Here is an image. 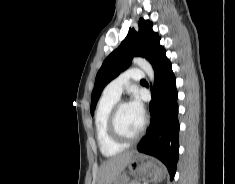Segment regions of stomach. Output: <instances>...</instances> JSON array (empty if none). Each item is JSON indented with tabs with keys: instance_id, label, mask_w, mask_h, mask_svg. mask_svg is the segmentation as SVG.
Instances as JSON below:
<instances>
[{
	"instance_id": "stomach-1",
	"label": "stomach",
	"mask_w": 235,
	"mask_h": 184,
	"mask_svg": "<svg viewBox=\"0 0 235 184\" xmlns=\"http://www.w3.org/2000/svg\"><path fill=\"white\" fill-rule=\"evenodd\" d=\"M128 170L136 180H146V182H161L165 178V170L161 164H155L147 160L146 156L134 152L128 164ZM130 178L126 172L119 174L112 184H128Z\"/></svg>"
}]
</instances>
